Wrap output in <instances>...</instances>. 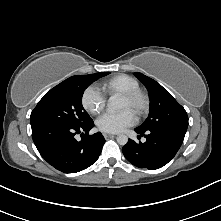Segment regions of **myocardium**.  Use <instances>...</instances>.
Masks as SVG:
<instances>
[{
    "mask_svg": "<svg viewBox=\"0 0 221 221\" xmlns=\"http://www.w3.org/2000/svg\"><path fill=\"white\" fill-rule=\"evenodd\" d=\"M121 98L134 105V113L138 117L145 114L149 108V97L144 91L140 89L126 92L121 95Z\"/></svg>",
    "mask_w": 221,
    "mask_h": 221,
    "instance_id": "1",
    "label": "myocardium"
}]
</instances>
